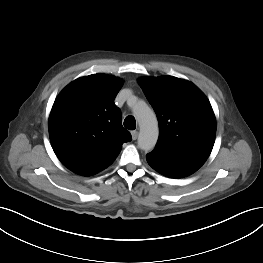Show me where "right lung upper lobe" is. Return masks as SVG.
I'll return each instance as SVG.
<instances>
[{"label":"right lung upper lobe","instance_id":"right-lung-upper-lobe-1","mask_svg":"<svg viewBox=\"0 0 263 263\" xmlns=\"http://www.w3.org/2000/svg\"><path fill=\"white\" fill-rule=\"evenodd\" d=\"M122 80L105 74L78 78L56 98L49 136L59 160L71 171L94 175L110 166L131 140L114 99Z\"/></svg>","mask_w":263,"mask_h":263}]
</instances>
